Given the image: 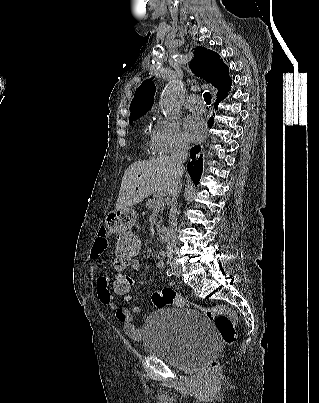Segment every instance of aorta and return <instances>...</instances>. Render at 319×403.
I'll return each instance as SVG.
<instances>
[{"mask_svg": "<svg viewBox=\"0 0 319 403\" xmlns=\"http://www.w3.org/2000/svg\"><path fill=\"white\" fill-rule=\"evenodd\" d=\"M183 85L179 81L169 82L160 97V108L164 116L170 120L180 116L181 97Z\"/></svg>", "mask_w": 319, "mask_h": 403, "instance_id": "1", "label": "aorta"}]
</instances>
